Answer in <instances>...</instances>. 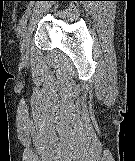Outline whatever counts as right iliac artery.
I'll return each instance as SVG.
<instances>
[{
    "instance_id": "82829eb1",
    "label": "right iliac artery",
    "mask_w": 135,
    "mask_h": 161,
    "mask_svg": "<svg viewBox=\"0 0 135 161\" xmlns=\"http://www.w3.org/2000/svg\"><path fill=\"white\" fill-rule=\"evenodd\" d=\"M30 11L28 10L25 15L22 17V19L20 20V23H19V34H23L24 30H25V27H26V24H27V18H28V15H29Z\"/></svg>"
}]
</instances>
